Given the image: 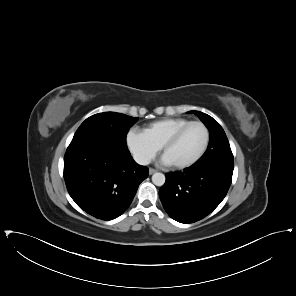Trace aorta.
Returning <instances> with one entry per match:
<instances>
[{
    "label": "aorta",
    "instance_id": "aorta-1",
    "mask_svg": "<svg viewBox=\"0 0 296 296\" xmlns=\"http://www.w3.org/2000/svg\"><path fill=\"white\" fill-rule=\"evenodd\" d=\"M152 182L156 186H163L165 183V175L163 173H154L152 175Z\"/></svg>",
    "mask_w": 296,
    "mask_h": 296
}]
</instances>
